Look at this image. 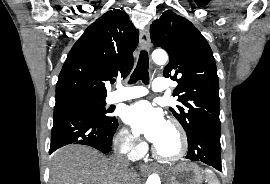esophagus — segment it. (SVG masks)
<instances>
[{"label": "esophagus", "instance_id": "1", "mask_svg": "<svg viewBox=\"0 0 270 184\" xmlns=\"http://www.w3.org/2000/svg\"><path fill=\"white\" fill-rule=\"evenodd\" d=\"M139 44L140 47L144 50H149L150 49V35H149V28L146 27L144 28L141 33H140V38H139ZM141 170L144 172L150 171L151 170V166L150 165H146V164H142L140 166Z\"/></svg>", "mask_w": 270, "mask_h": 184}]
</instances>
